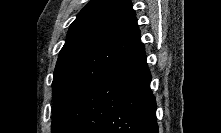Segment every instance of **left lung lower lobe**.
I'll return each instance as SVG.
<instances>
[{
	"mask_svg": "<svg viewBox=\"0 0 221 133\" xmlns=\"http://www.w3.org/2000/svg\"><path fill=\"white\" fill-rule=\"evenodd\" d=\"M150 82L140 42L86 87L55 133H158Z\"/></svg>",
	"mask_w": 221,
	"mask_h": 133,
	"instance_id": "obj_1",
	"label": "left lung lower lobe"
}]
</instances>
